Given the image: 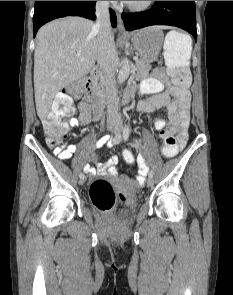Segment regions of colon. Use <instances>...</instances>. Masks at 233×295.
Wrapping results in <instances>:
<instances>
[{"mask_svg":"<svg viewBox=\"0 0 233 295\" xmlns=\"http://www.w3.org/2000/svg\"><path fill=\"white\" fill-rule=\"evenodd\" d=\"M192 52V42L188 35L170 32L164 43L166 69L173 80L172 92L179 96L188 91L191 77L188 72ZM88 79H79L71 83L65 91L56 95L51 110L43 121V130L47 144L58 147L62 144L68 130V123L63 117L73 113L71 95L80 94L84 87L88 88ZM162 138V152L166 157H172L179 151V143L170 127L160 132ZM122 157L127 164H134L136 159L129 149L122 151ZM92 203L100 210H109L116 201L115 191L109 181L95 180L89 189Z\"/></svg>","mask_w":233,"mask_h":295,"instance_id":"1","label":"colon"}]
</instances>
